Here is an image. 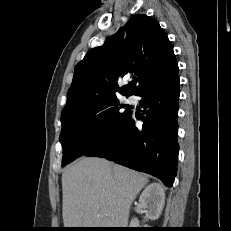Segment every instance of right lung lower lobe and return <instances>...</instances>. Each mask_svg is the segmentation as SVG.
I'll use <instances>...</instances> for the list:
<instances>
[{"label":"right lung lower lobe","mask_w":231,"mask_h":231,"mask_svg":"<svg viewBox=\"0 0 231 231\" xmlns=\"http://www.w3.org/2000/svg\"><path fill=\"white\" fill-rule=\"evenodd\" d=\"M179 77L148 85L142 97V128L135 126L130 112L119 130L85 156L105 157L129 168L149 173L171 187L177 173V113Z\"/></svg>","instance_id":"obj_1"}]
</instances>
